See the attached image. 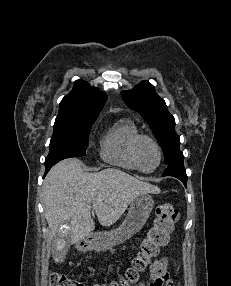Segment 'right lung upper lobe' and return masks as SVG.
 <instances>
[{
  "mask_svg": "<svg viewBox=\"0 0 231 286\" xmlns=\"http://www.w3.org/2000/svg\"><path fill=\"white\" fill-rule=\"evenodd\" d=\"M107 95L91 87L83 80H77L70 94L60 102L59 114H99Z\"/></svg>",
  "mask_w": 231,
  "mask_h": 286,
  "instance_id": "right-lung-upper-lobe-1",
  "label": "right lung upper lobe"
}]
</instances>
